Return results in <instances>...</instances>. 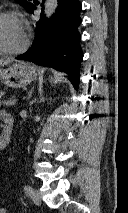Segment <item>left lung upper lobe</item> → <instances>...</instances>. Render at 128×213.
I'll return each instance as SVG.
<instances>
[{"label": "left lung upper lobe", "mask_w": 128, "mask_h": 213, "mask_svg": "<svg viewBox=\"0 0 128 213\" xmlns=\"http://www.w3.org/2000/svg\"><path fill=\"white\" fill-rule=\"evenodd\" d=\"M17 1L20 3V5H22L23 7H25L28 10L32 6V3L27 2L26 0H17Z\"/></svg>", "instance_id": "left-lung-upper-lobe-1"}]
</instances>
